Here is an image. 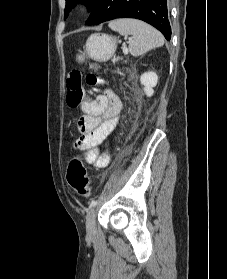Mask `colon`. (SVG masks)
Returning a JSON list of instances; mask_svg holds the SVG:
<instances>
[{
    "label": "colon",
    "instance_id": "1",
    "mask_svg": "<svg viewBox=\"0 0 227 279\" xmlns=\"http://www.w3.org/2000/svg\"><path fill=\"white\" fill-rule=\"evenodd\" d=\"M94 67L95 64L91 63L92 70L85 76V82L88 86L87 92L89 94H95L101 84V76ZM67 88L68 93L66 95V102L70 108L75 109L86 97L82 74L79 71L73 70L68 74ZM67 180L80 196L87 197L90 195L88 173L83 162L79 158L75 157L70 161Z\"/></svg>",
    "mask_w": 227,
    "mask_h": 279
}]
</instances>
